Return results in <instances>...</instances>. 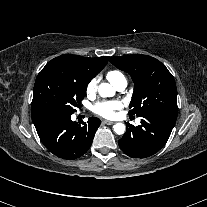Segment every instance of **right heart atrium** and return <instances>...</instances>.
I'll return each instance as SVG.
<instances>
[{
  "instance_id": "right-heart-atrium-1",
  "label": "right heart atrium",
  "mask_w": 207,
  "mask_h": 207,
  "mask_svg": "<svg viewBox=\"0 0 207 207\" xmlns=\"http://www.w3.org/2000/svg\"><path fill=\"white\" fill-rule=\"evenodd\" d=\"M96 88H97V80L93 78L86 85V93L88 95H92L95 93Z\"/></svg>"
}]
</instances>
